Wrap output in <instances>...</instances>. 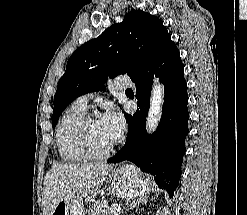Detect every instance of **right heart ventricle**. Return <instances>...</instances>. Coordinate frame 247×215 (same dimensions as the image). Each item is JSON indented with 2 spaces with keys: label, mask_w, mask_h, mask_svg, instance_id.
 <instances>
[{
  "label": "right heart ventricle",
  "mask_w": 247,
  "mask_h": 215,
  "mask_svg": "<svg viewBox=\"0 0 247 215\" xmlns=\"http://www.w3.org/2000/svg\"><path fill=\"white\" fill-rule=\"evenodd\" d=\"M85 116V109L75 102L62 114L56 128L55 140L61 159L68 163L85 161L87 157L80 150L75 136L79 121Z\"/></svg>",
  "instance_id": "e07e8e85"
}]
</instances>
